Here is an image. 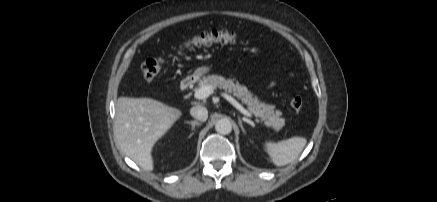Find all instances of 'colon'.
Returning <instances> with one entry per match:
<instances>
[{
    "label": "colon",
    "instance_id": "1",
    "mask_svg": "<svg viewBox=\"0 0 437 202\" xmlns=\"http://www.w3.org/2000/svg\"><path fill=\"white\" fill-rule=\"evenodd\" d=\"M238 41V35L227 30H213L210 32H203L190 39L184 40L180 44V48H187L191 46H204L214 43L228 44ZM162 67V59L149 58L142 63L141 70L143 77L147 81H151L159 74ZM290 106L294 111H301L304 106V101L300 96H295L290 100Z\"/></svg>",
    "mask_w": 437,
    "mask_h": 202
}]
</instances>
